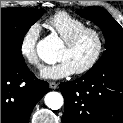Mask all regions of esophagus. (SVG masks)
Segmentation results:
<instances>
[{
  "instance_id": "1",
  "label": "esophagus",
  "mask_w": 123,
  "mask_h": 123,
  "mask_svg": "<svg viewBox=\"0 0 123 123\" xmlns=\"http://www.w3.org/2000/svg\"><path fill=\"white\" fill-rule=\"evenodd\" d=\"M49 87L51 88V89H56V88H58V84L56 83V82H49Z\"/></svg>"
}]
</instances>
